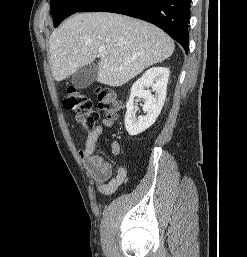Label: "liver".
Returning a JSON list of instances; mask_svg holds the SVG:
<instances>
[{
    "label": "liver",
    "mask_w": 247,
    "mask_h": 257,
    "mask_svg": "<svg viewBox=\"0 0 247 257\" xmlns=\"http://www.w3.org/2000/svg\"><path fill=\"white\" fill-rule=\"evenodd\" d=\"M49 45L56 81L99 57L96 79L111 87L122 86L147 67L164 61L175 47L158 27L107 12L74 15L52 32ZM99 49H104V55H98Z\"/></svg>",
    "instance_id": "liver-1"
}]
</instances>
